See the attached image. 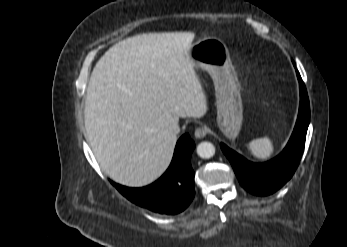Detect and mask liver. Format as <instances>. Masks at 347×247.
I'll return each instance as SVG.
<instances>
[{
    "instance_id": "obj_1",
    "label": "liver",
    "mask_w": 347,
    "mask_h": 247,
    "mask_svg": "<svg viewBox=\"0 0 347 247\" xmlns=\"http://www.w3.org/2000/svg\"><path fill=\"white\" fill-rule=\"evenodd\" d=\"M192 32L148 33L109 48L86 92L85 128L94 156L114 181L142 187L169 166L179 118L201 117L207 98L188 51Z\"/></svg>"
}]
</instances>
